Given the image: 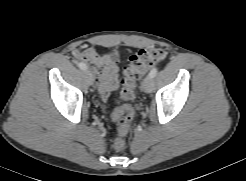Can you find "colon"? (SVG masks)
Instances as JSON below:
<instances>
[{
	"label": "colon",
	"instance_id": "colon-1",
	"mask_svg": "<svg viewBox=\"0 0 246 181\" xmlns=\"http://www.w3.org/2000/svg\"><path fill=\"white\" fill-rule=\"evenodd\" d=\"M163 57V50L156 47L142 48L133 54L124 69V79L118 100H133L135 98L137 81L150 66L162 61ZM133 117L134 110L131 106L124 104L118 105L115 108L113 112V118L117 122V136L113 140L115 150L120 151L124 149V137L129 131Z\"/></svg>",
	"mask_w": 246,
	"mask_h": 181
}]
</instances>
